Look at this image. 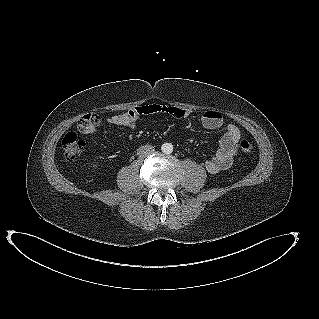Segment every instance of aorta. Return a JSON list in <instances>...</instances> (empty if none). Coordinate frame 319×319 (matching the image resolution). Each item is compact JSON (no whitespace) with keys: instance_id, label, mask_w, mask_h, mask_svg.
<instances>
[{"instance_id":"1","label":"aorta","mask_w":319,"mask_h":319,"mask_svg":"<svg viewBox=\"0 0 319 319\" xmlns=\"http://www.w3.org/2000/svg\"><path fill=\"white\" fill-rule=\"evenodd\" d=\"M161 150L163 153L165 154H170L173 152V145L171 143H164L162 146H161Z\"/></svg>"}]
</instances>
